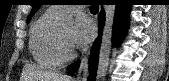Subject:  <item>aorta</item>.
I'll return each mask as SVG.
<instances>
[{
  "label": "aorta",
  "mask_w": 169,
  "mask_h": 81,
  "mask_svg": "<svg viewBox=\"0 0 169 81\" xmlns=\"http://www.w3.org/2000/svg\"><path fill=\"white\" fill-rule=\"evenodd\" d=\"M115 10V5L104 6L105 24L103 28L102 42L99 51L98 68L96 74L97 81H104L107 74L112 47V31ZM59 23L63 26H70L73 24V18L71 15L64 14L60 17Z\"/></svg>",
  "instance_id": "aorta-1"
}]
</instances>
